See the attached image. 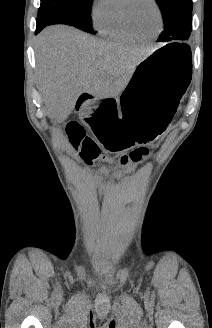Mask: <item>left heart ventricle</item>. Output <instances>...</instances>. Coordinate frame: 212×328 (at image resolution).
<instances>
[{"instance_id": "left-heart-ventricle-1", "label": "left heart ventricle", "mask_w": 212, "mask_h": 328, "mask_svg": "<svg viewBox=\"0 0 212 328\" xmlns=\"http://www.w3.org/2000/svg\"><path fill=\"white\" fill-rule=\"evenodd\" d=\"M132 14L135 23L143 31L153 33L159 28V16L150 0H136Z\"/></svg>"}]
</instances>
